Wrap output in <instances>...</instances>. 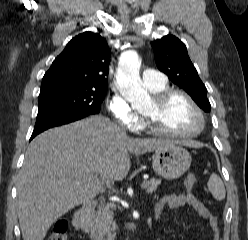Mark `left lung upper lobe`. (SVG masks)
<instances>
[{
	"label": "left lung upper lobe",
	"mask_w": 248,
	"mask_h": 240,
	"mask_svg": "<svg viewBox=\"0 0 248 240\" xmlns=\"http://www.w3.org/2000/svg\"><path fill=\"white\" fill-rule=\"evenodd\" d=\"M156 65L176 85L183 88L205 112H210L207 89L192 64L187 48L173 35L151 42Z\"/></svg>",
	"instance_id": "left-lung-upper-lobe-1"
}]
</instances>
